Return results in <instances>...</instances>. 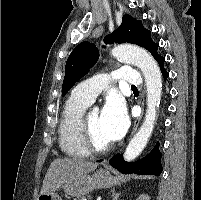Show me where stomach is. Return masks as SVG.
Here are the masks:
<instances>
[{
    "mask_svg": "<svg viewBox=\"0 0 201 200\" xmlns=\"http://www.w3.org/2000/svg\"><path fill=\"white\" fill-rule=\"evenodd\" d=\"M119 183V178L106 169H99L92 175L80 174L70 178L62 186L64 192L72 197H82L97 188H108ZM37 200H62L57 191L41 194Z\"/></svg>",
    "mask_w": 201,
    "mask_h": 200,
    "instance_id": "0dacf381",
    "label": "stomach"
}]
</instances>
